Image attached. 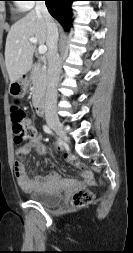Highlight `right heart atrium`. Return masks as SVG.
Segmentation results:
<instances>
[{"label":"right heart atrium","instance_id":"1","mask_svg":"<svg viewBox=\"0 0 133 253\" xmlns=\"http://www.w3.org/2000/svg\"><path fill=\"white\" fill-rule=\"evenodd\" d=\"M18 6L21 10H29L33 6V0H20Z\"/></svg>","mask_w":133,"mask_h":253}]
</instances>
